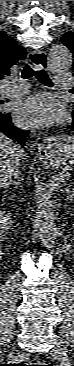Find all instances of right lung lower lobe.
I'll return each instance as SVG.
<instances>
[{
  "label": "right lung lower lobe",
  "mask_w": 74,
  "mask_h": 366,
  "mask_svg": "<svg viewBox=\"0 0 74 366\" xmlns=\"http://www.w3.org/2000/svg\"><path fill=\"white\" fill-rule=\"evenodd\" d=\"M0 133L5 134L10 139L20 143L24 146L26 137L29 134V131H22L15 127L11 121L10 114L8 113H0Z\"/></svg>",
  "instance_id": "obj_1"
}]
</instances>
